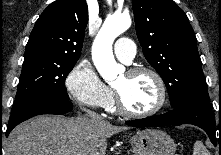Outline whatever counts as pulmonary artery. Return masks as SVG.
Returning a JSON list of instances; mask_svg holds the SVG:
<instances>
[{
	"instance_id": "e3ab8cb5",
	"label": "pulmonary artery",
	"mask_w": 221,
	"mask_h": 155,
	"mask_svg": "<svg viewBox=\"0 0 221 155\" xmlns=\"http://www.w3.org/2000/svg\"><path fill=\"white\" fill-rule=\"evenodd\" d=\"M114 53L118 60L128 64L135 56V45L131 39L122 37L116 41Z\"/></svg>"
}]
</instances>
